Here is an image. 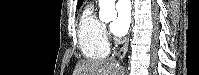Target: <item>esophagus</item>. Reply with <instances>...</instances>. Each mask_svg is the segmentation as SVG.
<instances>
[{"mask_svg": "<svg viewBox=\"0 0 199 75\" xmlns=\"http://www.w3.org/2000/svg\"><path fill=\"white\" fill-rule=\"evenodd\" d=\"M129 38H130V33H129V35H128V37H127V40H126V42H125V46H124V54L126 53V51H127V49H128Z\"/></svg>", "mask_w": 199, "mask_h": 75, "instance_id": "34e87169", "label": "esophagus"}]
</instances>
